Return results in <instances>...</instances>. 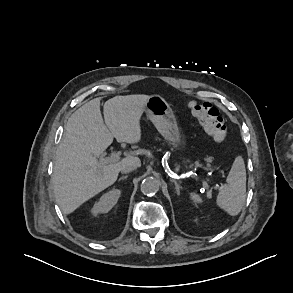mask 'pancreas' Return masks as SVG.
<instances>
[{
	"label": "pancreas",
	"mask_w": 293,
	"mask_h": 293,
	"mask_svg": "<svg viewBox=\"0 0 293 293\" xmlns=\"http://www.w3.org/2000/svg\"><path fill=\"white\" fill-rule=\"evenodd\" d=\"M206 161H207V162H210V159L207 158ZM193 165H195V167H202V164H200L199 161H196ZM193 165H192V166H193ZM209 167H210V164H207L206 169H208Z\"/></svg>",
	"instance_id": "pancreas-1"
}]
</instances>
